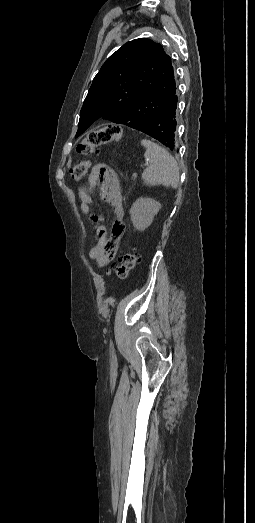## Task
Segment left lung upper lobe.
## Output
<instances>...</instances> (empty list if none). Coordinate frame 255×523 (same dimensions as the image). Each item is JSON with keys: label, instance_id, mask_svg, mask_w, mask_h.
<instances>
[{"label": "left lung upper lobe", "instance_id": "1", "mask_svg": "<svg viewBox=\"0 0 255 523\" xmlns=\"http://www.w3.org/2000/svg\"><path fill=\"white\" fill-rule=\"evenodd\" d=\"M175 93L171 57L163 47L146 38L127 42L93 79L76 137L100 117L130 127L155 121L154 115H163L164 106L177 98Z\"/></svg>", "mask_w": 255, "mask_h": 523}]
</instances>
